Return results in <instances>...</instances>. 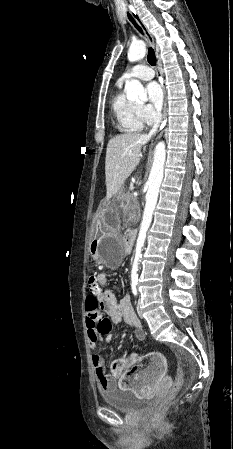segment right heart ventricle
Returning a JSON list of instances; mask_svg holds the SVG:
<instances>
[{
    "label": "right heart ventricle",
    "instance_id": "1",
    "mask_svg": "<svg viewBox=\"0 0 233 449\" xmlns=\"http://www.w3.org/2000/svg\"><path fill=\"white\" fill-rule=\"evenodd\" d=\"M122 85L117 83V92L111 104L116 126L123 133H138L143 130L145 122L139 114V106L126 98Z\"/></svg>",
    "mask_w": 233,
    "mask_h": 449
}]
</instances>
